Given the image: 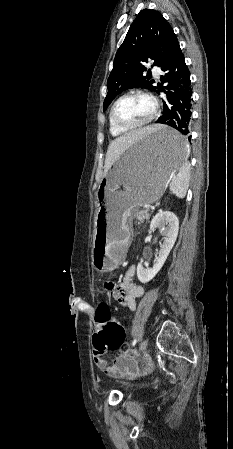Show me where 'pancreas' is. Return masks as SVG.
<instances>
[{
	"mask_svg": "<svg viewBox=\"0 0 233 449\" xmlns=\"http://www.w3.org/2000/svg\"><path fill=\"white\" fill-rule=\"evenodd\" d=\"M133 217L136 218L139 222H143L144 220H149V214L145 210L134 211Z\"/></svg>",
	"mask_w": 233,
	"mask_h": 449,
	"instance_id": "cf45deb5",
	"label": "pancreas"
}]
</instances>
